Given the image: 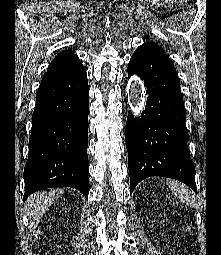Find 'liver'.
Instances as JSON below:
<instances>
[{"mask_svg": "<svg viewBox=\"0 0 221 255\" xmlns=\"http://www.w3.org/2000/svg\"><path fill=\"white\" fill-rule=\"evenodd\" d=\"M63 190L52 189L47 191H40L32 194L26 202L27 215L30 219L31 226H34L38 220L43 216L45 211L58 199Z\"/></svg>", "mask_w": 221, "mask_h": 255, "instance_id": "1", "label": "liver"}]
</instances>
